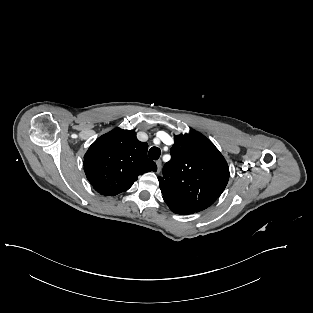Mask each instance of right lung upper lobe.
<instances>
[{
	"label": "right lung upper lobe",
	"instance_id": "right-lung-upper-lobe-1",
	"mask_svg": "<svg viewBox=\"0 0 313 313\" xmlns=\"http://www.w3.org/2000/svg\"><path fill=\"white\" fill-rule=\"evenodd\" d=\"M148 144L136 133L116 128L99 137L84 156V170L94 189L104 196L128 190L139 175L156 171L147 157Z\"/></svg>",
	"mask_w": 313,
	"mask_h": 313
}]
</instances>
